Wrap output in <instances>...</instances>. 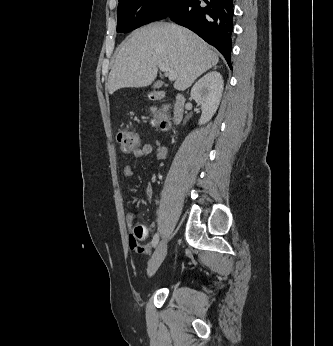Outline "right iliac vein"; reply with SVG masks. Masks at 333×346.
<instances>
[{
    "label": "right iliac vein",
    "mask_w": 333,
    "mask_h": 346,
    "mask_svg": "<svg viewBox=\"0 0 333 346\" xmlns=\"http://www.w3.org/2000/svg\"><path fill=\"white\" fill-rule=\"evenodd\" d=\"M168 242L166 238H163L158 244L154 254L152 255L149 264H148V274L152 276L157 269L162 264L165 256L167 254Z\"/></svg>",
    "instance_id": "63e3f726"
}]
</instances>
